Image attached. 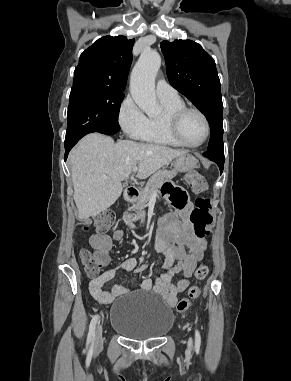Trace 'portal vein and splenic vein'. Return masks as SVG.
Masks as SVG:
<instances>
[{"instance_id": "portal-vein-and-splenic-vein-1", "label": "portal vein and splenic vein", "mask_w": 291, "mask_h": 381, "mask_svg": "<svg viewBox=\"0 0 291 381\" xmlns=\"http://www.w3.org/2000/svg\"><path fill=\"white\" fill-rule=\"evenodd\" d=\"M137 170H138L137 166H134L133 169H132L133 173H136Z\"/></svg>"}]
</instances>
